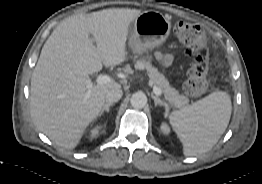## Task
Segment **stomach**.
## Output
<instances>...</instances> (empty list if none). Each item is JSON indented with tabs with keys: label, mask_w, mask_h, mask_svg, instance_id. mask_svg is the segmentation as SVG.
Masks as SVG:
<instances>
[{
	"label": "stomach",
	"mask_w": 262,
	"mask_h": 184,
	"mask_svg": "<svg viewBox=\"0 0 262 184\" xmlns=\"http://www.w3.org/2000/svg\"><path fill=\"white\" fill-rule=\"evenodd\" d=\"M129 46L135 54H142L161 46L169 37L171 22L157 11H144L130 26Z\"/></svg>",
	"instance_id": "1"
}]
</instances>
